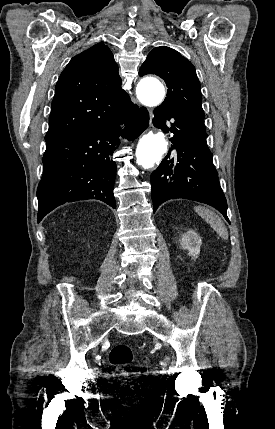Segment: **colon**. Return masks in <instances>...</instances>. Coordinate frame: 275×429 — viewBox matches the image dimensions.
Listing matches in <instances>:
<instances>
[{
  "instance_id": "colon-1",
  "label": "colon",
  "mask_w": 275,
  "mask_h": 429,
  "mask_svg": "<svg viewBox=\"0 0 275 429\" xmlns=\"http://www.w3.org/2000/svg\"><path fill=\"white\" fill-rule=\"evenodd\" d=\"M133 360V353L131 348L125 344H119L112 348L109 354V362L114 369V375L118 379L127 378L126 371L124 368L128 366ZM128 388L131 390H137L139 385L135 382H130ZM129 402H132L131 398H127Z\"/></svg>"
}]
</instances>
